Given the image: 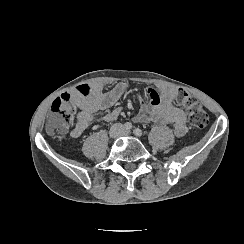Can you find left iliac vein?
<instances>
[{
    "instance_id": "obj_1",
    "label": "left iliac vein",
    "mask_w": 244,
    "mask_h": 244,
    "mask_svg": "<svg viewBox=\"0 0 244 244\" xmlns=\"http://www.w3.org/2000/svg\"><path fill=\"white\" fill-rule=\"evenodd\" d=\"M130 132L128 130H123L122 135H128Z\"/></svg>"
}]
</instances>
